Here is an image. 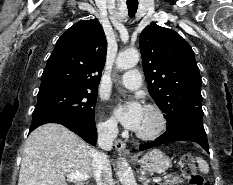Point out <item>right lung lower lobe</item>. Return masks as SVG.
<instances>
[{
	"label": "right lung lower lobe",
	"mask_w": 233,
	"mask_h": 185,
	"mask_svg": "<svg viewBox=\"0 0 233 185\" xmlns=\"http://www.w3.org/2000/svg\"><path fill=\"white\" fill-rule=\"evenodd\" d=\"M46 123H59L79 135L86 142L95 145L97 141V130L95 123H89L79 118L67 115L40 114L32 116L30 132L40 125Z\"/></svg>",
	"instance_id": "right-lung-lower-lobe-1"
}]
</instances>
